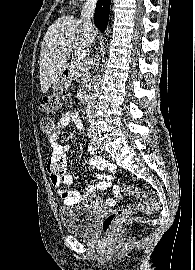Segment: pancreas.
<instances>
[{"mask_svg":"<svg viewBox=\"0 0 195 270\" xmlns=\"http://www.w3.org/2000/svg\"><path fill=\"white\" fill-rule=\"evenodd\" d=\"M88 63L86 60H78L77 58H73L71 61V70L72 73L79 81L82 86L87 85L90 81V72H89Z\"/></svg>","mask_w":195,"mask_h":270,"instance_id":"pancreas-1","label":"pancreas"}]
</instances>
